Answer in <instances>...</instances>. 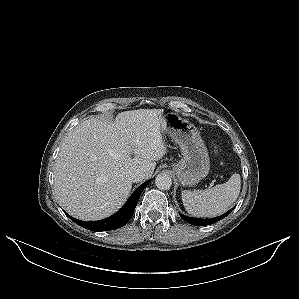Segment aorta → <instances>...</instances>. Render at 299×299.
<instances>
[{
	"label": "aorta",
	"instance_id": "1",
	"mask_svg": "<svg viewBox=\"0 0 299 299\" xmlns=\"http://www.w3.org/2000/svg\"><path fill=\"white\" fill-rule=\"evenodd\" d=\"M155 184L160 190H168L172 185V179L168 174H158L155 179Z\"/></svg>",
	"mask_w": 299,
	"mask_h": 299
}]
</instances>
